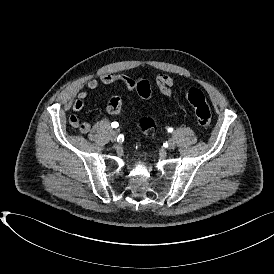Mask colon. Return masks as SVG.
Segmentation results:
<instances>
[{
  "label": "colon",
  "instance_id": "colon-1",
  "mask_svg": "<svg viewBox=\"0 0 274 274\" xmlns=\"http://www.w3.org/2000/svg\"><path fill=\"white\" fill-rule=\"evenodd\" d=\"M137 91L141 96H148L151 92L150 85L146 81H135ZM185 96L194 109L198 125L206 130L211 124L212 114L203 92L197 87H189L185 90ZM122 99L110 101L108 108L114 114L121 111ZM140 129L145 131L149 141L153 140L155 123L148 117L141 118L138 123ZM83 123L79 126L81 128Z\"/></svg>",
  "mask_w": 274,
  "mask_h": 274
}]
</instances>
